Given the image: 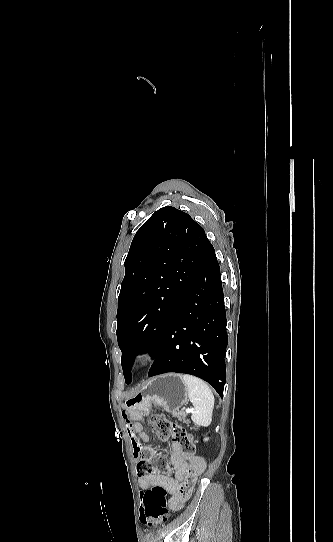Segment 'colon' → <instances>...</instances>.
I'll use <instances>...</instances> for the list:
<instances>
[{
  "label": "colon",
  "mask_w": 333,
  "mask_h": 542,
  "mask_svg": "<svg viewBox=\"0 0 333 542\" xmlns=\"http://www.w3.org/2000/svg\"><path fill=\"white\" fill-rule=\"evenodd\" d=\"M150 429L162 441L175 439L179 445L187 452L194 453L196 446L188 435L186 428H181L178 422L170 421L164 414L155 413L149 420ZM158 464L161 469H166L164 458H158ZM154 471V462L151 459L141 460L137 465V473L140 476H147ZM192 484L189 479L187 483L181 486L180 495H185L191 491ZM143 504L140 508V521L149 527L165 522L169 519V500L167 491L160 486L148 489L142 496Z\"/></svg>",
  "instance_id": "5ec220e1"
}]
</instances>
